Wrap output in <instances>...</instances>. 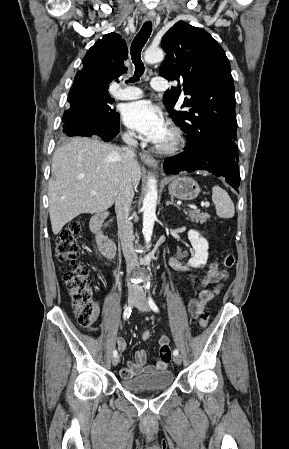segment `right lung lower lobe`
Here are the masks:
<instances>
[{
	"mask_svg": "<svg viewBox=\"0 0 289 449\" xmlns=\"http://www.w3.org/2000/svg\"><path fill=\"white\" fill-rule=\"evenodd\" d=\"M89 95L87 87L74 82L68 95L69 110L63 115V132L69 136H98L104 141H111L119 133L120 115L114 110L111 118L106 122L79 120L77 113Z\"/></svg>",
	"mask_w": 289,
	"mask_h": 449,
	"instance_id": "obj_1",
	"label": "right lung lower lobe"
}]
</instances>
